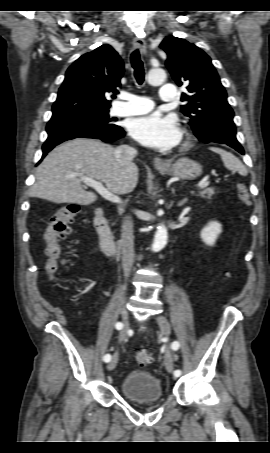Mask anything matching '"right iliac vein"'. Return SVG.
<instances>
[{"label": "right iliac vein", "mask_w": 270, "mask_h": 453, "mask_svg": "<svg viewBox=\"0 0 270 453\" xmlns=\"http://www.w3.org/2000/svg\"><path fill=\"white\" fill-rule=\"evenodd\" d=\"M121 320H122V323H123V329L120 332L119 340L123 341L125 339L126 335H127V331H128V328H129L128 311H127L125 306L122 307V309H121ZM117 362H118V355L114 354L112 359L110 360V362L107 365V370L108 371L113 370L116 367Z\"/></svg>", "instance_id": "right-iliac-vein-1"}]
</instances>
